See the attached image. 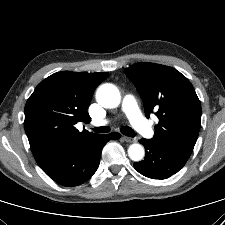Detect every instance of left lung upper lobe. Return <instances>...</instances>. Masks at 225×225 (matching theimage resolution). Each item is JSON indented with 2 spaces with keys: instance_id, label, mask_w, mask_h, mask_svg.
<instances>
[{
  "instance_id": "obj_1",
  "label": "left lung upper lobe",
  "mask_w": 225,
  "mask_h": 225,
  "mask_svg": "<svg viewBox=\"0 0 225 225\" xmlns=\"http://www.w3.org/2000/svg\"><path fill=\"white\" fill-rule=\"evenodd\" d=\"M125 74L135 84L146 117L159 119L150 140L190 157L201 126V105L190 81L172 67L137 63Z\"/></svg>"
}]
</instances>
